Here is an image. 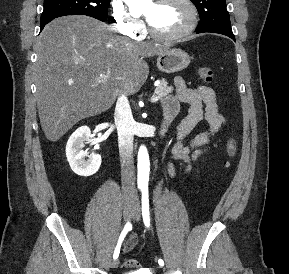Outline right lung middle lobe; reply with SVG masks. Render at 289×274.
I'll return each instance as SVG.
<instances>
[{
	"label": "right lung middle lobe",
	"instance_id": "1",
	"mask_svg": "<svg viewBox=\"0 0 289 274\" xmlns=\"http://www.w3.org/2000/svg\"><path fill=\"white\" fill-rule=\"evenodd\" d=\"M109 4L110 0H44L41 21L77 14L105 21Z\"/></svg>",
	"mask_w": 289,
	"mask_h": 274
}]
</instances>
